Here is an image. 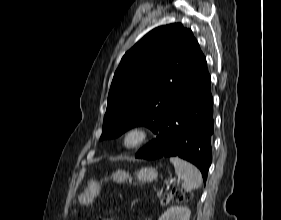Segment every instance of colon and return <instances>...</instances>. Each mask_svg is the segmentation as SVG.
Instances as JSON below:
<instances>
[{"instance_id": "colon-1", "label": "colon", "mask_w": 281, "mask_h": 220, "mask_svg": "<svg viewBox=\"0 0 281 220\" xmlns=\"http://www.w3.org/2000/svg\"><path fill=\"white\" fill-rule=\"evenodd\" d=\"M191 198V194L189 192L183 190L173 191L171 194H165L162 196L161 201L163 203H168L170 200H176L179 202L187 201ZM102 220V219H99Z\"/></svg>"}]
</instances>
